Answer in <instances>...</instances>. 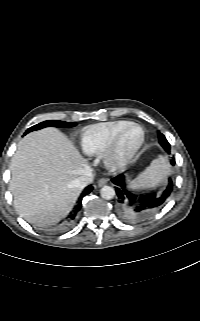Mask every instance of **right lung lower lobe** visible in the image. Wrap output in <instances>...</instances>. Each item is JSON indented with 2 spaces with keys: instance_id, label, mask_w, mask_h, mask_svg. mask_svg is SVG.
Here are the masks:
<instances>
[{
  "instance_id": "1",
  "label": "right lung lower lobe",
  "mask_w": 200,
  "mask_h": 321,
  "mask_svg": "<svg viewBox=\"0 0 200 321\" xmlns=\"http://www.w3.org/2000/svg\"><path fill=\"white\" fill-rule=\"evenodd\" d=\"M93 187L92 186H88L84 191L83 193L81 194L80 198H79V201H78V204L76 205V207L74 208V210L72 211V213L69 215V220L70 221H73L77 215V213L79 212L82 204H81V201H82V198L89 194L91 191H92Z\"/></svg>"
}]
</instances>
